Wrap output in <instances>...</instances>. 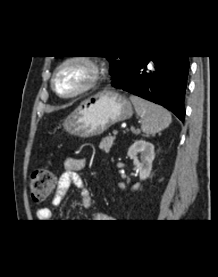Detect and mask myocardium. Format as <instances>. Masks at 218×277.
Returning a JSON list of instances; mask_svg holds the SVG:
<instances>
[{
    "mask_svg": "<svg viewBox=\"0 0 218 277\" xmlns=\"http://www.w3.org/2000/svg\"><path fill=\"white\" fill-rule=\"evenodd\" d=\"M69 66H80L86 71V78L83 83L71 93H61L56 86V80L60 73ZM101 79V69L97 62L90 57H68L60 62L54 69L51 87L56 95L64 99H71L82 95L94 88Z\"/></svg>",
    "mask_w": 218,
    "mask_h": 277,
    "instance_id": "1",
    "label": "myocardium"
}]
</instances>
